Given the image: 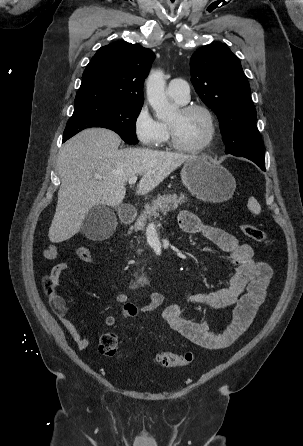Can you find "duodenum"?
<instances>
[{"label":"duodenum","mask_w":303,"mask_h":446,"mask_svg":"<svg viewBox=\"0 0 303 446\" xmlns=\"http://www.w3.org/2000/svg\"><path fill=\"white\" fill-rule=\"evenodd\" d=\"M136 211L132 207H124L120 212V219L123 223L129 224L134 221Z\"/></svg>","instance_id":"410a0bca"}]
</instances>
